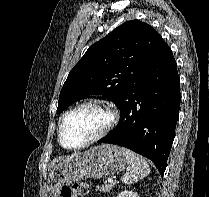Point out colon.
<instances>
[{
  "instance_id": "1",
  "label": "colon",
  "mask_w": 209,
  "mask_h": 197,
  "mask_svg": "<svg viewBox=\"0 0 209 197\" xmlns=\"http://www.w3.org/2000/svg\"><path fill=\"white\" fill-rule=\"evenodd\" d=\"M89 184L86 182H76L72 185L63 186L61 189L62 197H84L89 192Z\"/></svg>"
}]
</instances>
